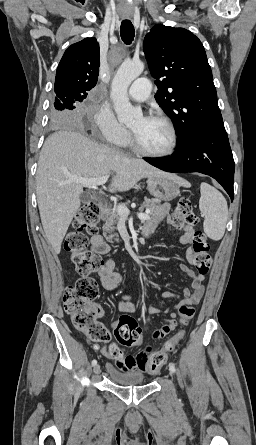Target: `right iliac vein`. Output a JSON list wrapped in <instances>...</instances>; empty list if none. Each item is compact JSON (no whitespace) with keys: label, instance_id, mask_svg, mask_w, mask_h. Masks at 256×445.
<instances>
[{"label":"right iliac vein","instance_id":"obj_1","mask_svg":"<svg viewBox=\"0 0 256 445\" xmlns=\"http://www.w3.org/2000/svg\"><path fill=\"white\" fill-rule=\"evenodd\" d=\"M93 371L95 374H98L100 372V365L99 364L94 365Z\"/></svg>","mask_w":256,"mask_h":445}]
</instances>
